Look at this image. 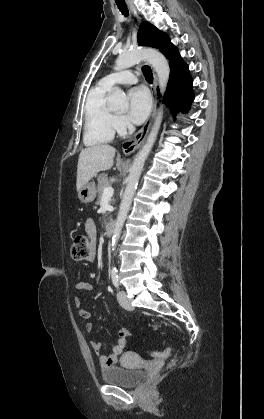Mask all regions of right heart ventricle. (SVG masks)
I'll return each mask as SVG.
<instances>
[{"label": "right heart ventricle", "mask_w": 264, "mask_h": 419, "mask_svg": "<svg viewBox=\"0 0 264 419\" xmlns=\"http://www.w3.org/2000/svg\"><path fill=\"white\" fill-rule=\"evenodd\" d=\"M110 87L102 81L93 87L85 104L84 143L95 146L110 142L115 133L114 112L107 106Z\"/></svg>", "instance_id": "obj_1"}]
</instances>
